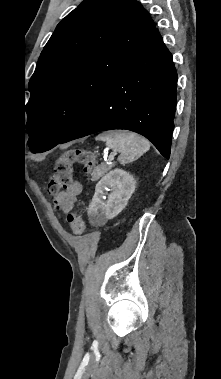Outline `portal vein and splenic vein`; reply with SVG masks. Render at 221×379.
I'll list each match as a JSON object with an SVG mask.
<instances>
[{
  "label": "portal vein and splenic vein",
  "mask_w": 221,
  "mask_h": 379,
  "mask_svg": "<svg viewBox=\"0 0 221 379\" xmlns=\"http://www.w3.org/2000/svg\"><path fill=\"white\" fill-rule=\"evenodd\" d=\"M113 159H114V156H109L108 159H107V161H108V162H112Z\"/></svg>",
  "instance_id": "1"
}]
</instances>
